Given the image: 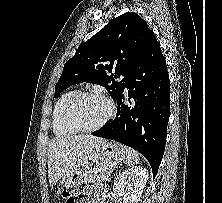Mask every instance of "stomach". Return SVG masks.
<instances>
[{
  "label": "stomach",
  "mask_w": 222,
  "mask_h": 203,
  "mask_svg": "<svg viewBox=\"0 0 222 203\" xmlns=\"http://www.w3.org/2000/svg\"><path fill=\"white\" fill-rule=\"evenodd\" d=\"M126 158V147L118 142H104L91 154L89 160L69 170L62 183L67 188H76L86 181L93 163L101 161H121Z\"/></svg>",
  "instance_id": "stomach-1"
}]
</instances>
